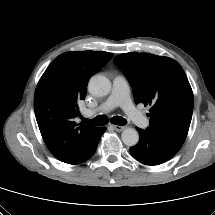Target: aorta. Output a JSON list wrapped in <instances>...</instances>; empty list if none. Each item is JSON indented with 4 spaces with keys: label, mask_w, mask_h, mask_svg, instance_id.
Listing matches in <instances>:
<instances>
[{
    "label": "aorta",
    "mask_w": 215,
    "mask_h": 215,
    "mask_svg": "<svg viewBox=\"0 0 215 215\" xmlns=\"http://www.w3.org/2000/svg\"><path fill=\"white\" fill-rule=\"evenodd\" d=\"M88 90L94 96H106L111 91V82L103 75H94L88 83ZM121 138L125 145L131 147L138 143L139 134L134 128H126L123 130Z\"/></svg>",
    "instance_id": "aorta-1"
}]
</instances>
